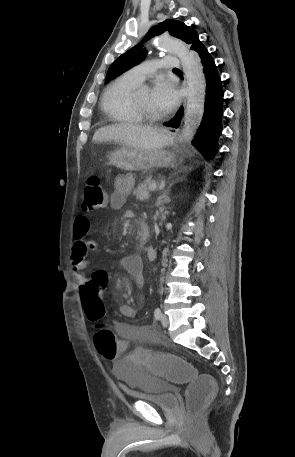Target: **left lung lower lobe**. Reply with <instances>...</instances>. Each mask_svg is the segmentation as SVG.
I'll use <instances>...</instances> for the list:
<instances>
[{"instance_id":"obj_1","label":"left lung lower lobe","mask_w":295,"mask_h":457,"mask_svg":"<svg viewBox=\"0 0 295 457\" xmlns=\"http://www.w3.org/2000/svg\"><path fill=\"white\" fill-rule=\"evenodd\" d=\"M191 49L201 59L207 85L203 119L192 143L206 159H212L216 153L217 140L222 131L224 94L215 62L199 38L191 45ZM183 115L184 111L181 107L166 125L174 127L179 125Z\"/></svg>"}]
</instances>
